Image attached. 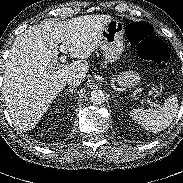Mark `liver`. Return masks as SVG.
<instances>
[{
	"label": "liver",
	"mask_w": 183,
	"mask_h": 183,
	"mask_svg": "<svg viewBox=\"0 0 183 183\" xmlns=\"http://www.w3.org/2000/svg\"><path fill=\"white\" fill-rule=\"evenodd\" d=\"M110 15H85L65 21H45L16 37L5 63L2 93L8 112L20 129L31 130L72 74L85 78L87 58L99 43ZM80 60L58 63V45Z\"/></svg>",
	"instance_id": "6515ba94"
}]
</instances>
